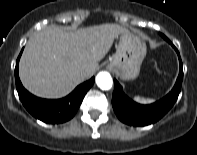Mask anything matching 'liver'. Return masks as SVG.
Wrapping results in <instances>:
<instances>
[{
  "label": "liver",
  "mask_w": 197,
  "mask_h": 155,
  "mask_svg": "<svg viewBox=\"0 0 197 155\" xmlns=\"http://www.w3.org/2000/svg\"><path fill=\"white\" fill-rule=\"evenodd\" d=\"M124 33L129 31L117 24L76 32L48 26L28 40L20 60V79L36 96L63 97L94 74L114 39Z\"/></svg>",
  "instance_id": "6515ba94"
}]
</instances>
